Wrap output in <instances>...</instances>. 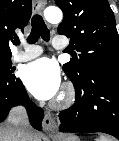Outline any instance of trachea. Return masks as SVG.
I'll use <instances>...</instances> for the list:
<instances>
[{
    "mask_svg": "<svg viewBox=\"0 0 119 141\" xmlns=\"http://www.w3.org/2000/svg\"><path fill=\"white\" fill-rule=\"evenodd\" d=\"M40 37H42L45 41H49L50 33L43 18L36 14L32 17V30L27 41L28 43L33 44L36 43ZM15 44L19 45V40L16 41Z\"/></svg>",
    "mask_w": 119,
    "mask_h": 141,
    "instance_id": "trachea-1",
    "label": "trachea"
}]
</instances>
